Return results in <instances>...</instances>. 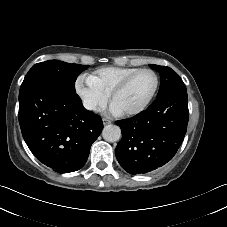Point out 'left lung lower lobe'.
<instances>
[{
	"mask_svg": "<svg viewBox=\"0 0 227 227\" xmlns=\"http://www.w3.org/2000/svg\"><path fill=\"white\" fill-rule=\"evenodd\" d=\"M188 118L187 91H172L136 116L116 121L122 132L115 151L119 164L133 175L163 166L183 142Z\"/></svg>",
	"mask_w": 227,
	"mask_h": 227,
	"instance_id": "0a47b994",
	"label": "left lung lower lobe"
}]
</instances>
